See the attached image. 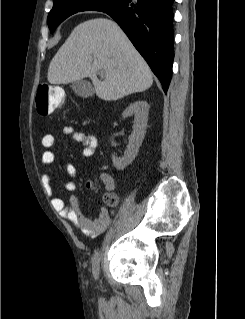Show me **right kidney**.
<instances>
[{"mask_svg": "<svg viewBox=\"0 0 245 319\" xmlns=\"http://www.w3.org/2000/svg\"><path fill=\"white\" fill-rule=\"evenodd\" d=\"M149 105L146 101H135L122 113L123 118L134 115L133 132L129 136V144L122 158L112 155L113 165L117 170H124L138 154L147 128Z\"/></svg>", "mask_w": 245, "mask_h": 319, "instance_id": "obj_1", "label": "right kidney"}]
</instances>
